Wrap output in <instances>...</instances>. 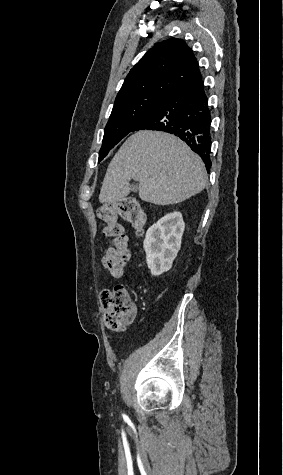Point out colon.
<instances>
[{
    "mask_svg": "<svg viewBox=\"0 0 283 475\" xmlns=\"http://www.w3.org/2000/svg\"><path fill=\"white\" fill-rule=\"evenodd\" d=\"M99 219L105 224L104 234L110 245L103 255V262L110 275L121 277L130 258L126 235L121 219L142 233L147 225V215L134 197L105 204L98 212ZM105 316V325L115 332H124L130 326L135 305L127 285L119 284L100 292Z\"/></svg>",
    "mask_w": 283,
    "mask_h": 475,
    "instance_id": "5ec220e1",
    "label": "colon"
}]
</instances>
